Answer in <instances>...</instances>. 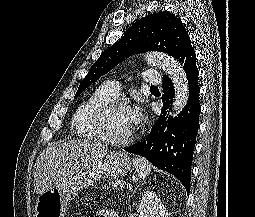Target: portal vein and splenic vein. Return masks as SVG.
Instances as JSON below:
<instances>
[{
	"label": "portal vein and splenic vein",
	"mask_w": 255,
	"mask_h": 217,
	"mask_svg": "<svg viewBox=\"0 0 255 217\" xmlns=\"http://www.w3.org/2000/svg\"><path fill=\"white\" fill-rule=\"evenodd\" d=\"M127 188H128V189H132V186H131V185H127Z\"/></svg>",
	"instance_id": "1"
}]
</instances>
